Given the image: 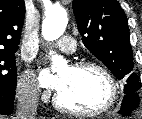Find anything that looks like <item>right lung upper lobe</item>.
I'll return each instance as SVG.
<instances>
[{"label": "right lung upper lobe", "mask_w": 142, "mask_h": 119, "mask_svg": "<svg viewBox=\"0 0 142 119\" xmlns=\"http://www.w3.org/2000/svg\"><path fill=\"white\" fill-rule=\"evenodd\" d=\"M24 17V0H0V50L18 49Z\"/></svg>", "instance_id": "cb5924a9"}]
</instances>
